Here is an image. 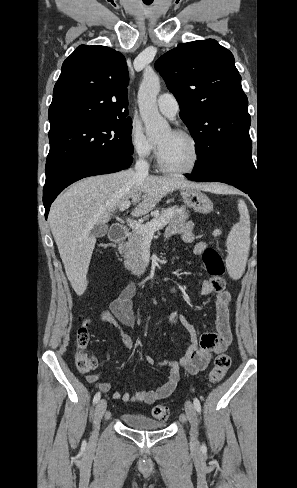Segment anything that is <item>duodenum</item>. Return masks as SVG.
<instances>
[{"label": "duodenum", "instance_id": "410a0bca", "mask_svg": "<svg viewBox=\"0 0 297 488\" xmlns=\"http://www.w3.org/2000/svg\"><path fill=\"white\" fill-rule=\"evenodd\" d=\"M127 235H128V230L120 224H113L110 227L109 239L112 242L121 243L126 239ZM143 272H144L143 269H139L136 272V274H142Z\"/></svg>", "mask_w": 297, "mask_h": 488}]
</instances>
